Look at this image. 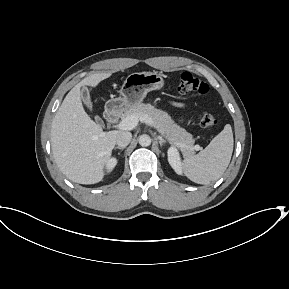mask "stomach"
Returning <instances> with one entry per match:
<instances>
[{
	"mask_svg": "<svg viewBox=\"0 0 289 289\" xmlns=\"http://www.w3.org/2000/svg\"><path fill=\"white\" fill-rule=\"evenodd\" d=\"M163 86L164 79L158 72L132 73L125 79L120 96L108 101V107L112 110L131 108L141 103L148 92L160 90Z\"/></svg>",
	"mask_w": 289,
	"mask_h": 289,
	"instance_id": "obj_1",
	"label": "stomach"
}]
</instances>
